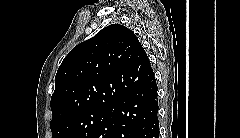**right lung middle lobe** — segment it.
I'll return each instance as SVG.
<instances>
[{"label":"right lung middle lobe","instance_id":"obj_1","mask_svg":"<svg viewBox=\"0 0 240 138\" xmlns=\"http://www.w3.org/2000/svg\"><path fill=\"white\" fill-rule=\"evenodd\" d=\"M108 108H90L51 122L53 138H90Z\"/></svg>","mask_w":240,"mask_h":138}]
</instances>
